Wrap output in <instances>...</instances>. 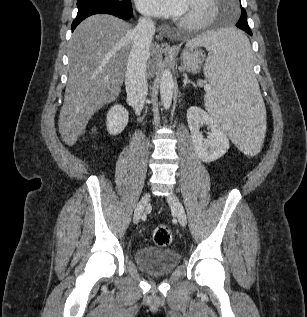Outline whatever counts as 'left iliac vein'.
Listing matches in <instances>:
<instances>
[{"instance_id":"4c4485c4","label":"left iliac vein","mask_w":307,"mask_h":317,"mask_svg":"<svg viewBox=\"0 0 307 317\" xmlns=\"http://www.w3.org/2000/svg\"><path fill=\"white\" fill-rule=\"evenodd\" d=\"M167 201H168L172 211L176 215L179 223L182 226H185L187 223V217H186L184 207L181 204L180 200L174 194H170L169 196H167Z\"/></svg>"}]
</instances>
